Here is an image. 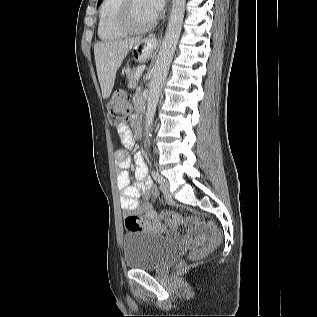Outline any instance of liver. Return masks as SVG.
<instances>
[{"instance_id":"6515ba94","label":"liver","mask_w":317,"mask_h":317,"mask_svg":"<svg viewBox=\"0 0 317 317\" xmlns=\"http://www.w3.org/2000/svg\"><path fill=\"white\" fill-rule=\"evenodd\" d=\"M140 37L98 42L94 45V56L97 76L100 83L102 97L108 98L112 92L116 73L128 52L138 45Z\"/></svg>"}]
</instances>
